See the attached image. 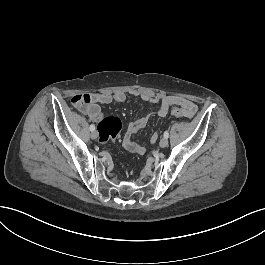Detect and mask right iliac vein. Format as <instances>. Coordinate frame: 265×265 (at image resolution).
Here are the masks:
<instances>
[{
  "mask_svg": "<svg viewBox=\"0 0 265 265\" xmlns=\"http://www.w3.org/2000/svg\"><path fill=\"white\" fill-rule=\"evenodd\" d=\"M91 138L96 140L98 138V132L97 131H92Z\"/></svg>",
  "mask_w": 265,
  "mask_h": 265,
  "instance_id": "63e3f726",
  "label": "right iliac vein"
}]
</instances>
